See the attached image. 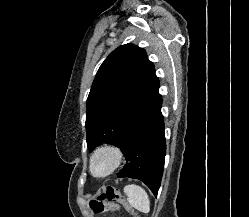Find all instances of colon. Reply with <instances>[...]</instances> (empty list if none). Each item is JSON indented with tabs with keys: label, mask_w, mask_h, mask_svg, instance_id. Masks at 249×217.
<instances>
[{
	"label": "colon",
	"mask_w": 249,
	"mask_h": 217,
	"mask_svg": "<svg viewBox=\"0 0 249 217\" xmlns=\"http://www.w3.org/2000/svg\"><path fill=\"white\" fill-rule=\"evenodd\" d=\"M123 204L126 209L134 215V217H140L135 214L131 207L126 203V200L122 193L112 186L105 187L96 197L91 199L90 207L94 212H108L119 210V205Z\"/></svg>",
	"instance_id": "obj_1"
}]
</instances>
